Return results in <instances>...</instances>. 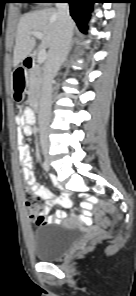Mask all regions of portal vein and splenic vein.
Listing matches in <instances>:
<instances>
[{"label": "portal vein and splenic vein", "mask_w": 136, "mask_h": 296, "mask_svg": "<svg viewBox=\"0 0 136 296\" xmlns=\"http://www.w3.org/2000/svg\"><path fill=\"white\" fill-rule=\"evenodd\" d=\"M31 35H33L34 37L38 38V39H42L43 37V34L42 32H39V31H33L31 32ZM47 58V52H46V49L44 47H42L39 52H38V56H37V62L38 64H42L45 62Z\"/></svg>", "instance_id": "portal-vein-and-splenic-vein-1"}]
</instances>
